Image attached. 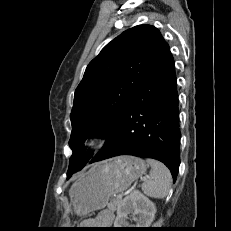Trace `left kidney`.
<instances>
[{
  "label": "left kidney",
  "instance_id": "obj_1",
  "mask_svg": "<svg viewBox=\"0 0 231 231\" xmlns=\"http://www.w3.org/2000/svg\"><path fill=\"white\" fill-rule=\"evenodd\" d=\"M155 204L139 191H133L126 196L117 208L114 228H148L154 220ZM133 214L136 225L127 222L128 215Z\"/></svg>",
  "mask_w": 231,
  "mask_h": 231
}]
</instances>
